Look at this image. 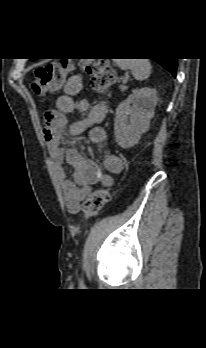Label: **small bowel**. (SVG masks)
Instances as JSON below:
<instances>
[{
	"label": "small bowel",
	"mask_w": 206,
	"mask_h": 348,
	"mask_svg": "<svg viewBox=\"0 0 206 348\" xmlns=\"http://www.w3.org/2000/svg\"><path fill=\"white\" fill-rule=\"evenodd\" d=\"M83 81L82 75H75L67 81L64 92L56 100V108L45 113L42 129L56 179L62 187L66 206L73 214L79 212L83 199L94 185L113 186L114 175L121 173L124 167L122 159L114 153L104 155V169H101L96 163L85 159L76 149L62 146V131L66 127L71 136H78L87 131L91 142H106V133L100 126L106 116V105L99 102L90 107L86 99L77 98L82 90ZM74 112L86 115L69 124L66 116ZM64 163L73 169L72 180L67 178Z\"/></svg>",
	"instance_id": "small-bowel-1"
}]
</instances>
